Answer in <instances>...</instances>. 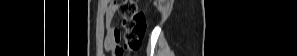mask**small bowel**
<instances>
[{
	"mask_svg": "<svg viewBox=\"0 0 297 56\" xmlns=\"http://www.w3.org/2000/svg\"><path fill=\"white\" fill-rule=\"evenodd\" d=\"M115 5L109 4L106 10V36L104 38V48L106 51L115 55V52L122 49L120 47L121 32L119 29L112 26L114 14H115Z\"/></svg>",
	"mask_w": 297,
	"mask_h": 56,
	"instance_id": "c3829d8e",
	"label": "small bowel"
}]
</instances>
